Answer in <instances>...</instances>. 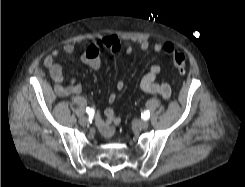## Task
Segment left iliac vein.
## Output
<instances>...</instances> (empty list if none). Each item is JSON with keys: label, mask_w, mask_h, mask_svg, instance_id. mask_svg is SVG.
<instances>
[{"label": "left iliac vein", "mask_w": 245, "mask_h": 187, "mask_svg": "<svg viewBox=\"0 0 245 187\" xmlns=\"http://www.w3.org/2000/svg\"><path fill=\"white\" fill-rule=\"evenodd\" d=\"M136 125L141 129H147L149 126V122L146 120H138L136 122Z\"/></svg>", "instance_id": "4c4485c4"}]
</instances>
